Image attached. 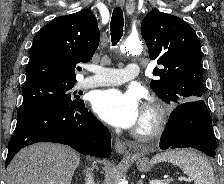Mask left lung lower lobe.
<instances>
[{
  "mask_svg": "<svg viewBox=\"0 0 224 184\" xmlns=\"http://www.w3.org/2000/svg\"><path fill=\"white\" fill-rule=\"evenodd\" d=\"M159 146L161 149L192 147L215 156L217 145L212 121L202 99L177 105Z\"/></svg>",
  "mask_w": 224,
  "mask_h": 184,
  "instance_id": "obj_1",
  "label": "left lung lower lobe"
}]
</instances>
